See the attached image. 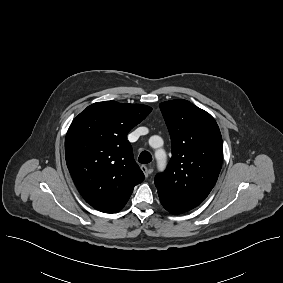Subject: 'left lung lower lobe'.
<instances>
[{
    "label": "left lung lower lobe",
    "mask_w": 283,
    "mask_h": 283,
    "mask_svg": "<svg viewBox=\"0 0 283 283\" xmlns=\"http://www.w3.org/2000/svg\"><path fill=\"white\" fill-rule=\"evenodd\" d=\"M159 198H160V201H161L162 205L164 206V208L166 210H168L171 213L177 214V212L173 211L171 208L168 207L167 203L161 197H159Z\"/></svg>",
    "instance_id": "0a47b994"
}]
</instances>
